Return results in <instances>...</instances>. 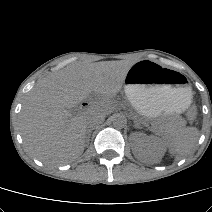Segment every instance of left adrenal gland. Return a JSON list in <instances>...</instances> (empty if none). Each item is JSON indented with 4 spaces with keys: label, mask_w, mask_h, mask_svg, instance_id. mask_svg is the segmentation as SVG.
<instances>
[{
    "label": "left adrenal gland",
    "mask_w": 212,
    "mask_h": 212,
    "mask_svg": "<svg viewBox=\"0 0 212 212\" xmlns=\"http://www.w3.org/2000/svg\"><path fill=\"white\" fill-rule=\"evenodd\" d=\"M134 127H135V128H139V125L136 123Z\"/></svg>",
    "instance_id": "left-adrenal-gland-1"
}]
</instances>
